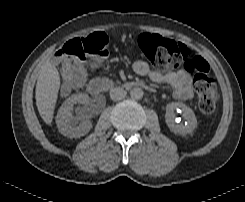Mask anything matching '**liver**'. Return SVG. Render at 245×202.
<instances>
[{
	"instance_id": "obj_1",
	"label": "liver",
	"mask_w": 245,
	"mask_h": 202,
	"mask_svg": "<svg viewBox=\"0 0 245 202\" xmlns=\"http://www.w3.org/2000/svg\"><path fill=\"white\" fill-rule=\"evenodd\" d=\"M60 88V76L57 68L46 62L36 84V106L43 121L51 125Z\"/></svg>"
}]
</instances>
